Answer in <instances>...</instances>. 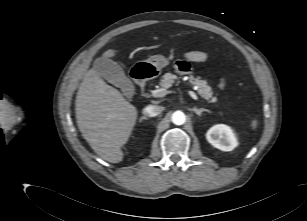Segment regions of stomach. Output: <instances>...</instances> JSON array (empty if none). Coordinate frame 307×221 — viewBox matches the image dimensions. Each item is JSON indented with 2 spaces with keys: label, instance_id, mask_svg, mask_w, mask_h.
<instances>
[{
  "label": "stomach",
  "instance_id": "obj_1",
  "mask_svg": "<svg viewBox=\"0 0 307 221\" xmlns=\"http://www.w3.org/2000/svg\"><path fill=\"white\" fill-rule=\"evenodd\" d=\"M169 62V58L164 55H153L147 60L137 62L135 66L137 68L143 67L145 69V77L153 78L156 77Z\"/></svg>",
  "mask_w": 307,
  "mask_h": 221
}]
</instances>
